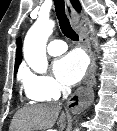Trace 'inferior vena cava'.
<instances>
[{
  "label": "inferior vena cava",
  "instance_id": "inferior-vena-cava-1",
  "mask_svg": "<svg viewBox=\"0 0 117 131\" xmlns=\"http://www.w3.org/2000/svg\"><path fill=\"white\" fill-rule=\"evenodd\" d=\"M61 91H62V94H63V99H67V97L71 93V88H69L67 86H63Z\"/></svg>",
  "mask_w": 117,
  "mask_h": 131
}]
</instances>
